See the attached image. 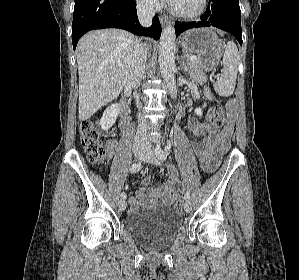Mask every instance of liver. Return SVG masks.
<instances>
[{
	"instance_id": "liver-1",
	"label": "liver",
	"mask_w": 299,
	"mask_h": 280,
	"mask_svg": "<svg viewBox=\"0 0 299 280\" xmlns=\"http://www.w3.org/2000/svg\"><path fill=\"white\" fill-rule=\"evenodd\" d=\"M137 39L120 29L91 31L77 46L79 120L86 121L125 87Z\"/></svg>"
}]
</instances>
